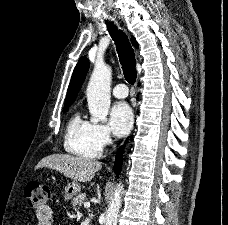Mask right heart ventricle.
<instances>
[{"label":"right heart ventricle","mask_w":228,"mask_h":225,"mask_svg":"<svg viewBox=\"0 0 228 225\" xmlns=\"http://www.w3.org/2000/svg\"><path fill=\"white\" fill-rule=\"evenodd\" d=\"M63 147L67 153L83 158H96L102 152L93 123L83 120L78 111L70 116L66 124Z\"/></svg>","instance_id":"right-heart-ventricle-1"}]
</instances>
